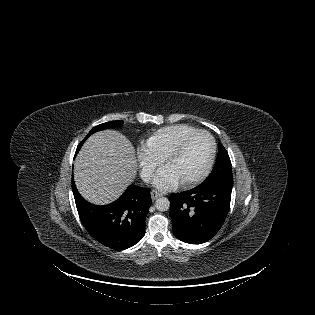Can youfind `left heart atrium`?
<instances>
[{
	"instance_id": "39dd6f15",
	"label": "left heart atrium",
	"mask_w": 315,
	"mask_h": 315,
	"mask_svg": "<svg viewBox=\"0 0 315 315\" xmlns=\"http://www.w3.org/2000/svg\"><path fill=\"white\" fill-rule=\"evenodd\" d=\"M180 182L176 174L167 167L161 169L154 178V184L160 189H170Z\"/></svg>"
}]
</instances>
